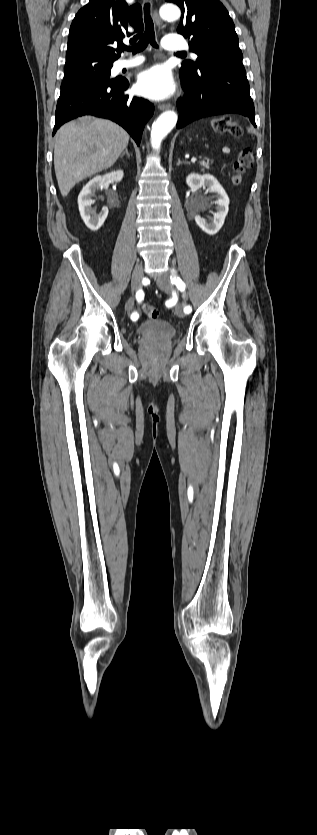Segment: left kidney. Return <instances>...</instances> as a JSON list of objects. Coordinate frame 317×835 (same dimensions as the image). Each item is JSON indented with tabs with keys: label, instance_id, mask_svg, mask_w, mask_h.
Masks as SVG:
<instances>
[{
	"label": "left kidney",
	"instance_id": "obj_1",
	"mask_svg": "<svg viewBox=\"0 0 317 835\" xmlns=\"http://www.w3.org/2000/svg\"><path fill=\"white\" fill-rule=\"evenodd\" d=\"M186 183L191 189L197 190L201 187H207L208 191L215 193L214 197L216 201L213 203L216 205V212L213 214V218L207 221L197 214L195 215V222L205 233L209 235L216 234L223 226L229 210V197L227 193L218 180L210 174H190L186 178ZM206 207V205H203L201 208L205 209Z\"/></svg>",
	"mask_w": 317,
	"mask_h": 835
}]
</instances>
